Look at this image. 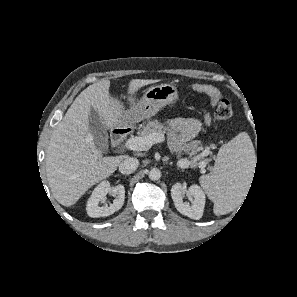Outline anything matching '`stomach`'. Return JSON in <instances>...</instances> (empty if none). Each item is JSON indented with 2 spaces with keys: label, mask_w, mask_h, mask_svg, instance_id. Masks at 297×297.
Wrapping results in <instances>:
<instances>
[{
  "label": "stomach",
  "mask_w": 297,
  "mask_h": 297,
  "mask_svg": "<svg viewBox=\"0 0 297 297\" xmlns=\"http://www.w3.org/2000/svg\"><path fill=\"white\" fill-rule=\"evenodd\" d=\"M178 96V89L172 84L150 87L138 103L129 109L127 116L120 120V126L137 123L156 115L162 107L175 102Z\"/></svg>",
  "instance_id": "0dacf381"
}]
</instances>
